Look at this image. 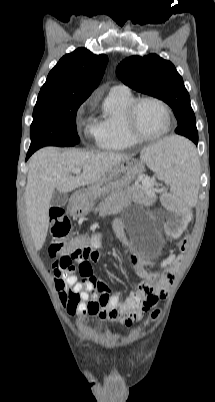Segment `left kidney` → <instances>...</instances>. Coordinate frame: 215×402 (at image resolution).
Masks as SVG:
<instances>
[{
	"mask_svg": "<svg viewBox=\"0 0 215 402\" xmlns=\"http://www.w3.org/2000/svg\"><path fill=\"white\" fill-rule=\"evenodd\" d=\"M164 202L170 206L169 213L171 216H174L176 220H165L164 227L165 229H170L169 233L171 236H175L177 239L182 237L180 232L183 231V226H186L188 221L190 220V215L183 213L182 206L180 203H173V197L169 196V193H164Z\"/></svg>",
	"mask_w": 215,
	"mask_h": 402,
	"instance_id": "left-kidney-1",
	"label": "left kidney"
}]
</instances>
